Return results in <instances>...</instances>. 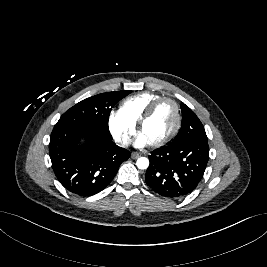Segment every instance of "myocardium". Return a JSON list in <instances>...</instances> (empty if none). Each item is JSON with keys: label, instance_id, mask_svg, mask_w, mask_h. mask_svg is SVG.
<instances>
[{"label": "myocardium", "instance_id": "1", "mask_svg": "<svg viewBox=\"0 0 267 267\" xmlns=\"http://www.w3.org/2000/svg\"><path fill=\"white\" fill-rule=\"evenodd\" d=\"M164 102H169L173 105L174 110H175V124L172 130L170 131V133L166 137H164L163 139L155 143H152V146L154 147H160V146H163L169 143L176 136L181 126L182 117H181L180 107L177 101H175L174 99L170 97H160L149 105V107L146 109L144 114L139 119L137 123L138 132L140 133L144 124L153 116L157 108Z\"/></svg>", "mask_w": 267, "mask_h": 267}]
</instances>
